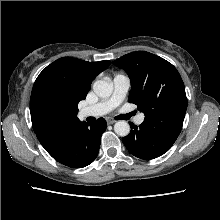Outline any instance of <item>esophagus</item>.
Instances as JSON below:
<instances>
[{
    "instance_id": "esophagus-1",
    "label": "esophagus",
    "mask_w": 220,
    "mask_h": 220,
    "mask_svg": "<svg viewBox=\"0 0 220 220\" xmlns=\"http://www.w3.org/2000/svg\"><path fill=\"white\" fill-rule=\"evenodd\" d=\"M116 121L115 120H112V119H108L107 120V123L109 124V125H112V124H114Z\"/></svg>"
}]
</instances>
